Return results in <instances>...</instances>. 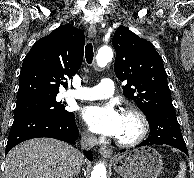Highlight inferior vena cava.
<instances>
[{"instance_id": "obj_1", "label": "inferior vena cava", "mask_w": 194, "mask_h": 178, "mask_svg": "<svg viewBox=\"0 0 194 178\" xmlns=\"http://www.w3.org/2000/svg\"><path fill=\"white\" fill-rule=\"evenodd\" d=\"M97 145V138L95 135L85 131L81 134V147L84 149H91Z\"/></svg>"}]
</instances>
